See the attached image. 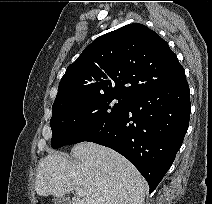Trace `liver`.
Segmentation results:
<instances>
[{"instance_id":"obj_1","label":"liver","mask_w":212,"mask_h":204,"mask_svg":"<svg viewBox=\"0 0 212 204\" xmlns=\"http://www.w3.org/2000/svg\"><path fill=\"white\" fill-rule=\"evenodd\" d=\"M72 163L59 153L48 154L35 179L39 196L63 197L69 188H82L71 204H143L146 182L139 171L116 151L91 142L75 145Z\"/></svg>"}]
</instances>
